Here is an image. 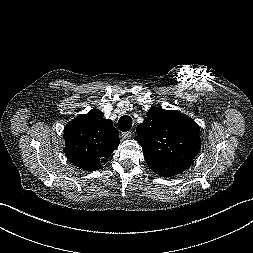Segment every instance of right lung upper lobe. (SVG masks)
Returning <instances> with one entry per match:
<instances>
[{"mask_svg":"<svg viewBox=\"0 0 253 253\" xmlns=\"http://www.w3.org/2000/svg\"><path fill=\"white\" fill-rule=\"evenodd\" d=\"M64 153L74 165L100 169L119 145V132L100 110H91L70 121L64 130Z\"/></svg>","mask_w":253,"mask_h":253,"instance_id":"cb5924a9","label":"right lung upper lobe"}]
</instances>
